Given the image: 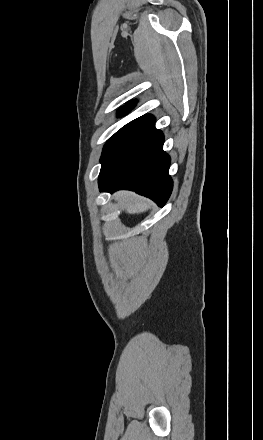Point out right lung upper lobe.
Returning a JSON list of instances; mask_svg holds the SVG:
<instances>
[{
	"label": "right lung upper lobe",
	"mask_w": 263,
	"mask_h": 440,
	"mask_svg": "<svg viewBox=\"0 0 263 440\" xmlns=\"http://www.w3.org/2000/svg\"><path fill=\"white\" fill-rule=\"evenodd\" d=\"M135 101H131L130 102V104H132V103H134ZM124 108H133V105H126V106H124L122 109H124Z\"/></svg>",
	"instance_id": "right-lung-upper-lobe-1"
}]
</instances>
